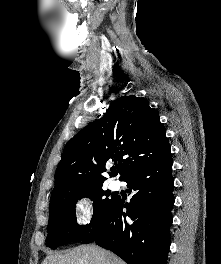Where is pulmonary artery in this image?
<instances>
[{"instance_id":"pulmonary-artery-1","label":"pulmonary artery","mask_w":221,"mask_h":264,"mask_svg":"<svg viewBox=\"0 0 221 264\" xmlns=\"http://www.w3.org/2000/svg\"><path fill=\"white\" fill-rule=\"evenodd\" d=\"M110 186H111L112 189H118L120 184H119L118 181L113 180V181L110 182Z\"/></svg>"}]
</instances>
